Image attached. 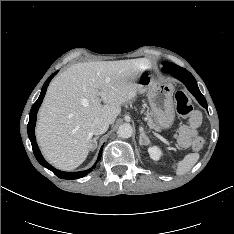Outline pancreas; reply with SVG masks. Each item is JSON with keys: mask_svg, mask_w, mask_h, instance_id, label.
I'll list each match as a JSON object with an SVG mask.
<instances>
[{"mask_svg": "<svg viewBox=\"0 0 234 234\" xmlns=\"http://www.w3.org/2000/svg\"><path fill=\"white\" fill-rule=\"evenodd\" d=\"M148 126L156 131H161V127L155 122L150 113H147Z\"/></svg>", "mask_w": 234, "mask_h": 234, "instance_id": "cf45deb5", "label": "pancreas"}]
</instances>
